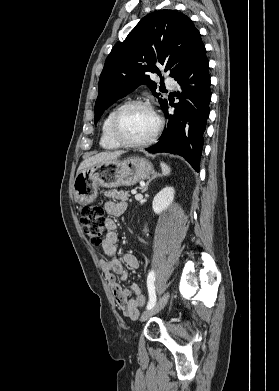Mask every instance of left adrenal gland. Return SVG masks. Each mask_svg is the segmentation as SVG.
Listing matches in <instances>:
<instances>
[{
  "label": "left adrenal gland",
  "instance_id": "left-adrenal-gland-1",
  "mask_svg": "<svg viewBox=\"0 0 279 391\" xmlns=\"http://www.w3.org/2000/svg\"><path fill=\"white\" fill-rule=\"evenodd\" d=\"M160 176H162V175L157 174V173H154L153 176L147 181L145 187L142 189V193H144V192L147 191L148 186H149V184H150V182H151L152 180H154L155 178L160 177Z\"/></svg>",
  "mask_w": 279,
  "mask_h": 391
}]
</instances>
